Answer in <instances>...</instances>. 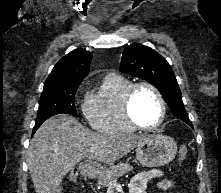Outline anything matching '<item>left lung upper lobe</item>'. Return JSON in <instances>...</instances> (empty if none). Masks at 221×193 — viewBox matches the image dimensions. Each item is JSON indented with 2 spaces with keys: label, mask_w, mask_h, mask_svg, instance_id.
I'll list each match as a JSON object with an SVG mask.
<instances>
[{
  "label": "left lung upper lobe",
  "mask_w": 221,
  "mask_h": 193,
  "mask_svg": "<svg viewBox=\"0 0 221 193\" xmlns=\"http://www.w3.org/2000/svg\"><path fill=\"white\" fill-rule=\"evenodd\" d=\"M120 71L154 85L164 97L173 115L192 126L174 72L159 53L141 44L128 46L122 54Z\"/></svg>",
  "instance_id": "left-lung-upper-lobe-1"
}]
</instances>
